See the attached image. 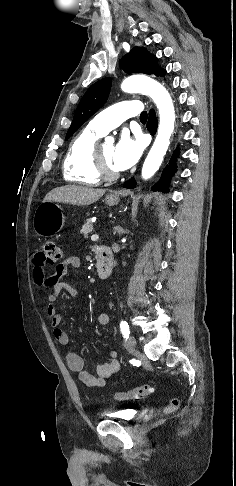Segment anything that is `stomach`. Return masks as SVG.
Returning a JSON list of instances; mask_svg holds the SVG:
<instances>
[{
	"label": "stomach",
	"mask_w": 236,
	"mask_h": 486,
	"mask_svg": "<svg viewBox=\"0 0 236 486\" xmlns=\"http://www.w3.org/2000/svg\"><path fill=\"white\" fill-rule=\"evenodd\" d=\"M108 206H114L119 203L117 195H108L105 198ZM65 217L62 213L61 206L53 201L42 202L34 213L33 228L37 235L49 237L58 233L64 226Z\"/></svg>",
	"instance_id": "0dacf381"
}]
</instances>
